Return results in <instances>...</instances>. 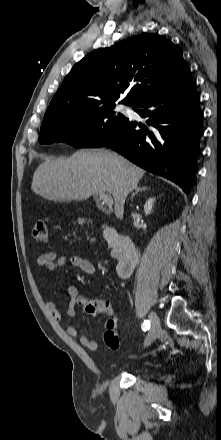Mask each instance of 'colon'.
<instances>
[{"label":"colon","instance_id":"obj_1","mask_svg":"<svg viewBox=\"0 0 221 440\" xmlns=\"http://www.w3.org/2000/svg\"><path fill=\"white\" fill-rule=\"evenodd\" d=\"M33 238L38 243H47L49 240L48 225L46 221L39 220L33 229ZM78 305L89 315L105 314L108 316L106 330L104 332V342L109 349H117L119 346V335L116 325L115 313L111 304L105 300L80 298Z\"/></svg>","mask_w":221,"mask_h":440}]
</instances>
